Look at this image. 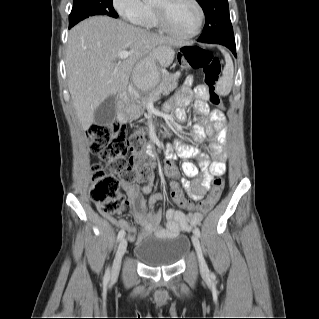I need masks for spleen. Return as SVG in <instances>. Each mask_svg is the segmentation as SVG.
I'll return each instance as SVG.
<instances>
[{
    "instance_id": "obj_1",
    "label": "spleen",
    "mask_w": 319,
    "mask_h": 319,
    "mask_svg": "<svg viewBox=\"0 0 319 319\" xmlns=\"http://www.w3.org/2000/svg\"><path fill=\"white\" fill-rule=\"evenodd\" d=\"M221 51L225 57L226 65L223 69L222 77L216 84V91L218 94L226 96L230 93L233 85L234 67L230 55L223 49Z\"/></svg>"
}]
</instances>
